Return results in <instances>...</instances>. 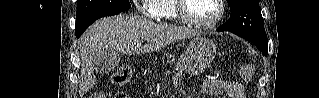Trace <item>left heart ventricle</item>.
Returning <instances> with one entry per match:
<instances>
[{"label":"left heart ventricle","instance_id":"1","mask_svg":"<svg viewBox=\"0 0 319 98\" xmlns=\"http://www.w3.org/2000/svg\"><path fill=\"white\" fill-rule=\"evenodd\" d=\"M185 10L196 20L209 21L218 14L219 6L216 0H187Z\"/></svg>","mask_w":319,"mask_h":98}]
</instances>
